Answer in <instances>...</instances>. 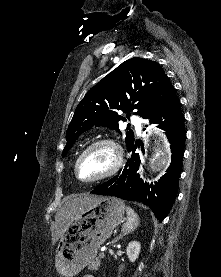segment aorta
Wrapping results in <instances>:
<instances>
[{
	"label": "aorta",
	"mask_w": 221,
	"mask_h": 277,
	"mask_svg": "<svg viewBox=\"0 0 221 277\" xmlns=\"http://www.w3.org/2000/svg\"><path fill=\"white\" fill-rule=\"evenodd\" d=\"M170 160V147L164 140L157 145L154 156L150 160V172L156 174L164 171L169 166Z\"/></svg>",
	"instance_id": "aorta-1"
}]
</instances>
